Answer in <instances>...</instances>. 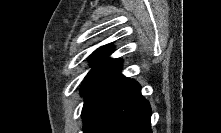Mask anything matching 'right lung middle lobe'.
Returning <instances> with one entry per match:
<instances>
[{
  "instance_id": "1",
  "label": "right lung middle lobe",
  "mask_w": 221,
  "mask_h": 133,
  "mask_svg": "<svg viewBox=\"0 0 221 133\" xmlns=\"http://www.w3.org/2000/svg\"><path fill=\"white\" fill-rule=\"evenodd\" d=\"M98 75H87L84 81L82 82V87H81V95L82 96H87V94L90 91V88L92 87L94 81L98 78Z\"/></svg>"
}]
</instances>
